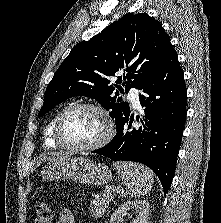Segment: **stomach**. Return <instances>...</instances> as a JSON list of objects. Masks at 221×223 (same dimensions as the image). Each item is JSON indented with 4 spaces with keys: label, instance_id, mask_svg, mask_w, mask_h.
Returning <instances> with one entry per match:
<instances>
[{
    "label": "stomach",
    "instance_id": "stomach-1",
    "mask_svg": "<svg viewBox=\"0 0 221 223\" xmlns=\"http://www.w3.org/2000/svg\"><path fill=\"white\" fill-rule=\"evenodd\" d=\"M42 181L71 180L81 184H106L112 177L108 166L85 157L62 158L48 162L40 173Z\"/></svg>",
    "mask_w": 221,
    "mask_h": 223
}]
</instances>
